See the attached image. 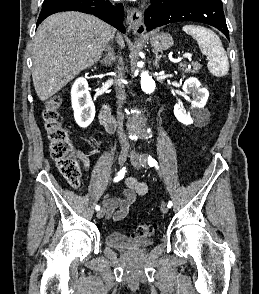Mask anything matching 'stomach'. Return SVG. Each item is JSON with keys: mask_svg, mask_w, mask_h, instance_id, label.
<instances>
[{"mask_svg": "<svg viewBox=\"0 0 259 294\" xmlns=\"http://www.w3.org/2000/svg\"><path fill=\"white\" fill-rule=\"evenodd\" d=\"M150 43L156 51H163L173 46V38L168 33H157L150 38Z\"/></svg>", "mask_w": 259, "mask_h": 294, "instance_id": "obj_1", "label": "stomach"}]
</instances>
